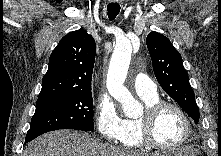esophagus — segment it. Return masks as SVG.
<instances>
[{
    "mask_svg": "<svg viewBox=\"0 0 221 156\" xmlns=\"http://www.w3.org/2000/svg\"><path fill=\"white\" fill-rule=\"evenodd\" d=\"M111 2H117L118 0H110Z\"/></svg>",
    "mask_w": 221,
    "mask_h": 156,
    "instance_id": "34e87169",
    "label": "esophagus"
}]
</instances>
